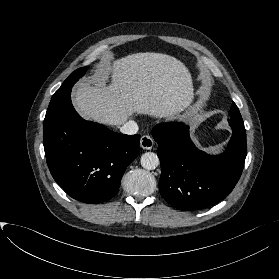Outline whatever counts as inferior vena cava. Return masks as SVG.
I'll return each instance as SVG.
<instances>
[{"instance_id": "1", "label": "inferior vena cava", "mask_w": 279, "mask_h": 279, "mask_svg": "<svg viewBox=\"0 0 279 279\" xmlns=\"http://www.w3.org/2000/svg\"><path fill=\"white\" fill-rule=\"evenodd\" d=\"M120 131L123 134L133 135L138 132V125L135 121L129 120L120 127Z\"/></svg>"}]
</instances>
